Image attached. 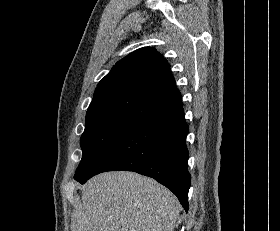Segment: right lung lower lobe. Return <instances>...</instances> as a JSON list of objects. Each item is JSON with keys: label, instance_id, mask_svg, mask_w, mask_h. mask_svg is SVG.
Here are the masks:
<instances>
[{"label": "right lung lower lobe", "instance_id": "98d812e1", "mask_svg": "<svg viewBox=\"0 0 280 231\" xmlns=\"http://www.w3.org/2000/svg\"><path fill=\"white\" fill-rule=\"evenodd\" d=\"M188 132L183 104L160 112L118 135L74 179L84 184L101 172L134 171L169 188L188 212Z\"/></svg>", "mask_w": 280, "mask_h": 231}]
</instances>
